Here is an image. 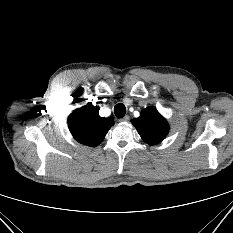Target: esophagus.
Here are the masks:
<instances>
[{
    "label": "esophagus",
    "mask_w": 233,
    "mask_h": 233,
    "mask_svg": "<svg viewBox=\"0 0 233 233\" xmlns=\"http://www.w3.org/2000/svg\"><path fill=\"white\" fill-rule=\"evenodd\" d=\"M129 119H130V117L128 115H126V116L122 117L119 121L120 122H128Z\"/></svg>",
    "instance_id": "1"
}]
</instances>
